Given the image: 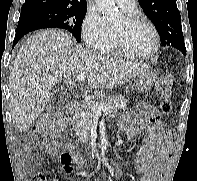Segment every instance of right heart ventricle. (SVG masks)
Returning a JSON list of instances; mask_svg holds the SVG:
<instances>
[{"mask_svg":"<svg viewBox=\"0 0 197 181\" xmlns=\"http://www.w3.org/2000/svg\"><path fill=\"white\" fill-rule=\"evenodd\" d=\"M106 53H115L116 51H115V45L113 44V42H112V44L110 45V47L105 51Z\"/></svg>","mask_w":197,"mask_h":181,"instance_id":"e07e8e85","label":"right heart ventricle"}]
</instances>
